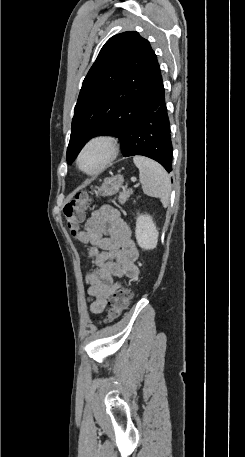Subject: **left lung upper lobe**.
Segmentation results:
<instances>
[{
    "label": "left lung upper lobe",
    "mask_w": 245,
    "mask_h": 457,
    "mask_svg": "<svg viewBox=\"0 0 245 457\" xmlns=\"http://www.w3.org/2000/svg\"><path fill=\"white\" fill-rule=\"evenodd\" d=\"M159 64L150 43L137 32L112 36L85 77L67 148L71 164L85 143L138 109L149 95Z\"/></svg>",
    "instance_id": "1"
}]
</instances>
